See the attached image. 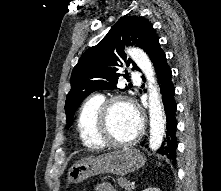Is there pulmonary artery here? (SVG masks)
I'll return each instance as SVG.
<instances>
[{"mask_svg": "<svg viewBox=\"0 0 221 191\" xmlns=\"http://www.w3.org/2000/svg\"><path fill=\"white\" fill-rule=\"evenodd\" d=\"M130 76L134 82H136V83L140 82V78H139V75L137 72H131Z\"/></svg>", "mask_w": 221, "mask_h": 191, "instance_id": "obj_1", "label": "pulmonary artery"}]
</instances>
